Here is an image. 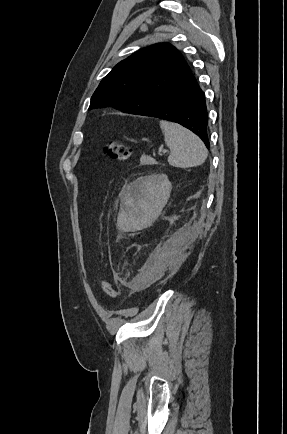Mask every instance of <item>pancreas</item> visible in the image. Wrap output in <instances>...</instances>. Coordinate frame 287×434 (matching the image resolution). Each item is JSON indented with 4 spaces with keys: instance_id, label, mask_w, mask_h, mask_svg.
<instances>
[{
    "instance_id": "obj_1",
    "label": "pancreas",
    "mask_w": 287,
    "mask_h": 434,
    "mask_svg": "<svg viewBox=\"0 0 287 434\" xmlns=\"http://www.w3.org/2000/svg\"><path fill=\"white\" fill-rule=\"evenodd\" d=\"M140 162L142 165H154L157 164V162L155 161V159L149 157V156H145L142 155L140 158Z\"/></svg>"
}]
</instances>
